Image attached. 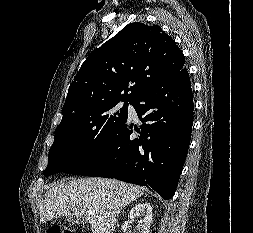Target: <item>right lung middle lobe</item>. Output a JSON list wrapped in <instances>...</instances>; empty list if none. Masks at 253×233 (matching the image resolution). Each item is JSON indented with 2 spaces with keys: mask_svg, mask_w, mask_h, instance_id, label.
<instances>
[{
  "mask_svg": "<svg viewBox=\"0 0 253 233\" xmlns=\"http://www.w3.org/2000/svg\"><path fill=\"white\" fill-rule=\"evenodd\" d=\"M124 106L119 108V102ZM128 102L110 99L87 105L62 118L55 131L44 175L61 172L102 148L127 119Z\"/></svg>",
  "mask_w": 253,
  "mask_h": 233,
  "instance_id": "1",
  "label": "right lung middle lobe"
}]
</instances>
